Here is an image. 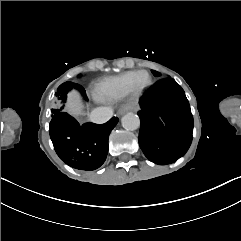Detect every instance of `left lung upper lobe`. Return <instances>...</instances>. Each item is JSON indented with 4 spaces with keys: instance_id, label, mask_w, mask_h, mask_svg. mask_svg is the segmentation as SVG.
I'll return each mask as SVG.
<instances>
[{
    "instance_id": "obj_1",
    "label": "left lung upper lobe",
    "mask_w": 241,
    "mask_h": 241,
    "mask_svg": "<svg viewBox=\"0 0 241 241\" xmlns=\"http://www.w3.org/2000/svg\"><path fill=\"white\" fill-rule=\"evenodd\" d=\"M155 76H160V73L156 72V71H153L152 72Z\"/></svg>"
}]
</instances>
